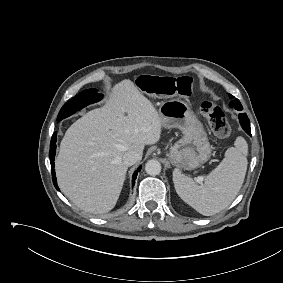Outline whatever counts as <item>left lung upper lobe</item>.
Instances as JSON below:
<instances>
[{
  "instance_id": "obj_1",
  "label": "left lung upper lobe",
  "mask_w": 283,
  "mask_h": 283,
  "mask_svg": "<svg viewBox=\"0 0 283 283\" xmlns=\"http://www.w3.org/2000/svg\"><path fill=\"white\" fill-rule=\"evenodd\" d=\"M230 97L233 98L232 95H230ZM229 105L230 107H234L236 110H242V105L238 99H233Z\"/></svg>"
}]
</instances>
